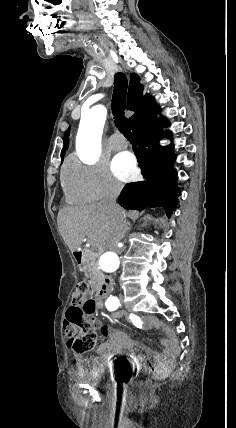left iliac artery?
<instances>
[{"instance_id":"44dca946","label":"left iliac artery","mask_w":236,"mask_h":428,"mask_svg":"<svg viewBox=\"0 0 236 428\" xmlns=\"http://www.w3.org/2000/svg\"><path fill=\"white\" fill-rule=\"evenodd\" d=\"M105 305L109 311L116 310L119 306H121L120 301L117 297L110 295V297L105 302Z\"/></svg>"}]
</instances>
